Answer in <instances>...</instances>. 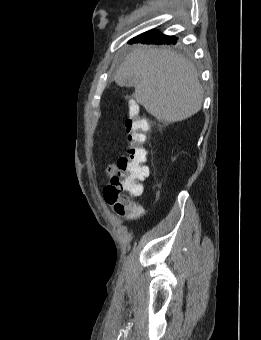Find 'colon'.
Here are the masks:
<instances>
[{"label":"colon","instance_id":"1","mask_svg":"<svg viewBox=\"0 0 261 340\" xmlns=\"http://www.w3.org/2000/svg\"><path fill=\"white\" fill-rule=\"evenodd\" d=\"M128 149L117 160V175L104 189L105 200L120 215H137L142 208L132 201L142 193V181L149 175L146 165L148 150L145 146L148 123L139 117L137 105L130 103L125 121Z\"/></svg>","mask_w":261,"mask_h":340}]
</instances>
